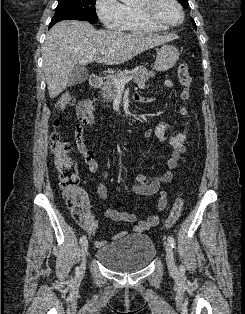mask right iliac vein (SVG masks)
<instances>
[{"mask_svg":"<svg viewBox=\"0 0 245 314\" xmlns=\"http://www.w3.org/2000/svg\"><path fill=\"white\" fill-rule=\"evenodd\" d=\"M88 245L89 244L87 240H85L81 245V265L79 267V274H82L85 270Z\"/></svg>","mask_w":245,"mask_h":314,"instance_id":"1","label":"right iliac vein"}]
</instances>
